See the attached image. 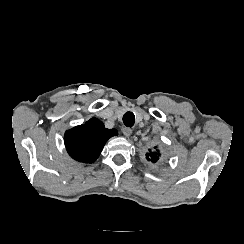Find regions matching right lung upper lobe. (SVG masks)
Here are the masks:
<instances>
[{"instance_id": "right-lung-upper-lobe-1", "label": "right lung upper lobe", "mask_w": 244, "mask_h": 244, "mask_svg": "<svg viewBox=\"0 0 244 244\" xmlns=\"http://www.w3.org/2000/svg\"><path fill=\"white\" fill-rule=\"evenodd\" d=\"M117 130L106 129L97 118H92L84 125L66 131L64 142L69 155L83 163H92L100 155L105 143Z\"/></svg>"}]
</instances>
